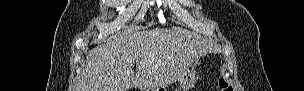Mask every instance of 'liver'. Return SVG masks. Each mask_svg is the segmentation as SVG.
I'll use <instances>...</instances> for the list:
<instances>
[{"label":"liver","instance_id":"6515ba94","mask_svg":"<svg viewBox=\"0 0 304 91\" xmlns=\"http://www.w3.org/2000/svg\"><path fill=\"white\" fill-rule=\"evenodd\" d=\"M211 51L187 32L133 29L89 52L76 91H127L132 86L154 91L178 81L194 60Z\"/></svg>","mask_w":304,"mask_h":91}]
</instances>
